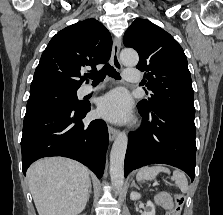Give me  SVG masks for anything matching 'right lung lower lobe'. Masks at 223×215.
I'll return each mask as SVG.
<instances>
[{
    "label": "right lung lower lobe",
    "mask_w": 223,
    "mask_h": 215,
    "mask_svg": "<svg viewBox=\"0 0 223 215\" xmlns=\"http://www.w3.org/2000/svg\"><path fill=\"white\" fill-rule=\"evenodd\" d=\"M90 104L62 107L24 117L21 139L23 173L36 160L49 156L75 159L101 178L104 171L108 130L103 120L83 123Z\"/></svg>",
    "instance_id": "obj_1"
}]
</instances>
